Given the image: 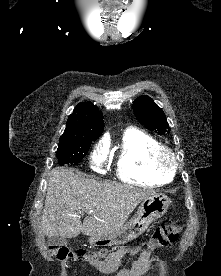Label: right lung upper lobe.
I'll use <instances>...</instances> for the list:
<instances>
[{"label": "right lung upper lobe", "instance_id": "right-lung-upper-lobe-1", "mask_svg": "<svg viewBox=\"0 0 221 276\" xmlns=\"http://www.w3.org/2000/svg\"><path fill=\"white\" fill-rule=\"evenodd\" d=\"M66 125L59 141L94 140L104 129L103 116L91 102H80L68 117Z\"/></svg>", "mask_w": 221, "mask_h": 276}]
</instances>
